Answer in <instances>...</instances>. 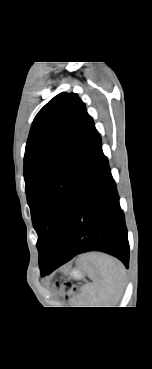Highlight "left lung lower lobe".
<instances>
[{
	"mask_svg": "<svg viewBox=\"0 0 152 369\" xmlns=\"http://www.w3.org/2000/svg\"><path fill=\"white\" fill-rule=\"evenodd\" d=\"M87 251L106 252L128 267L129 243L124 214L98 132L86 159L64 239L53 260L39 263L41 275L49 274Z\"/></svg>",
	"mask_w": 152,
	"mask_h": 369,
	"instance_id": "left-lung-lower-lobe-1",
	"label": "left lung lower lobe"
}]
</instances>
